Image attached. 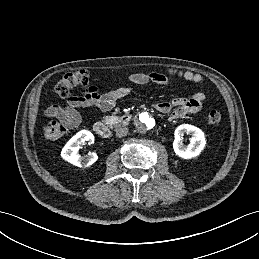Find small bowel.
<instances>
[{"instance_id": "small-bowel-1", "label": "small bowel", "mask_w": 259, "mask_h": 259, "mask_svg": "<svg viewBox=\"0 0 259 259\" xmlns=\"http://www.w3.org/2000/svg\"><path fill=\"white\" fill-rule=\"evenodd\" d=\"M169 75L183 78L187 81L203 85L204 78L192 71L169 70ZM129 80L138 86H144L150 82L156 85H166L168 83V75L164 73H143L135 72L129 76ZM130 92L128 87H118L106 93H101L96 86H90L83 89L82 93L69 97L63 106L53 105L46 109L45 115L48 118H56L68 127H76L81 117L78 108L96 106L103 111L113 109L117 102L127 96ZM205 94L196 92L190 98H174L170 101H159L154 104V108L161 113H170L171 121L178 120L187 114L200 111Z\"/></svg>"}]
</instances>
